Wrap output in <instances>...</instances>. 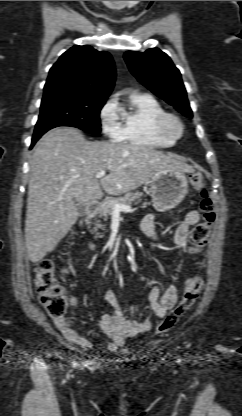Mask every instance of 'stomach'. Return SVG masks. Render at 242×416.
<instances>
[{
	"label": "stomach",
	"instance_id": "1",
	"mask_svg": "<svg viewBox=\"0 0 242 416\" xmlns=\"http://www.w3.org/2000/svg\"><path fill=\"white\" fill-rule=\"evenodd\" d=\"M149 184L153 206L158 211L175 208L188 193V177L181 170H160L152 176Z\"/></svg>",
	"mask_w": 242,
	"mask_h": 416
}]
</instances>
